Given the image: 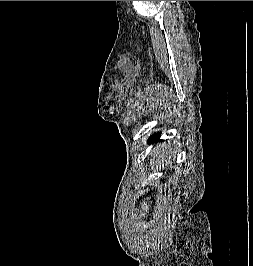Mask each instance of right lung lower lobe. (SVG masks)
Listing matches in <instances>:
<instances>
[{
  "label": "right lung lower lobe",
  "mask_w": 253,
  "mask_h": 266,
  "mask_svg": "<svg viewBox=\"0 0 253 266\" xmlns=\"http://www.w3.org/2000/svg\"><path fill=\"white\" fill-rule=\"evenodd\" d=\"M159 136H160V133L154 134L153 136L150 137L149 141L157 139V138H159Z\"/></svg>",
  "instance_id": "obj_1"
}]
</instances>
